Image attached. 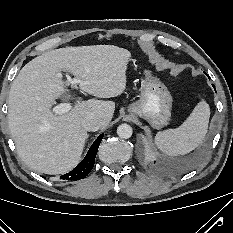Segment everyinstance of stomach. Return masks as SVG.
<instances>
[{
    "instance_id": "obj_1",
    "label": "stomach",
    "mask_w": 233,
    "mask_h": 233,
    "mask_svg": "<svg viewBox=\"0 0 233 233\" xmlns=\"http://www.w3.org/2000/svg\"><path fill=\"white\" fill-rule=\"evenodd\" d=\"M141 95L128 107L131 115L146 119L153 128H161L171 116L172 96L167 87L149 69L143 71Z\"/></svg>"
}]
</instances>
